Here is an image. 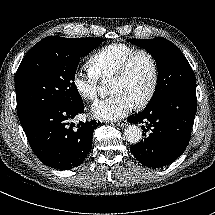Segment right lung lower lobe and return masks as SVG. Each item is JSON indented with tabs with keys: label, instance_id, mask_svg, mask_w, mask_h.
I'll list each match as a JSON object with an SVG mask.
<instances>
[{
	"label": "right lung lower lobe",
	"instance_id": "98d812e1",
	"mask_svg": "<svg viewBox=\"0 0 215 215\" xmlns=\"http://www.w3.org/2000/svg\"><path fill=\"white\" fill-rule=\"evenodd\" d=\"M83 111V103L77 106L51 103L19 117L30 147L43 164L69 170L84 161L92 148L93 131L101 123L79 122L74 130L70 121Z\"/></svg>",
	"mask_w": 215,
	"mask_h": 215
}]
</instances>
